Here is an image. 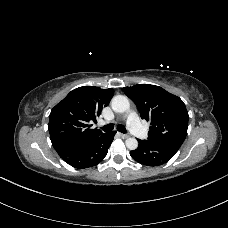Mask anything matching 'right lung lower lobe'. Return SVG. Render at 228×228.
I'll return each instance as SVG.
<instances>
[{"mask_svg":"<svg viewBox=\"0 0 228 228\" xmlns=\"http://www.w3.org/2000/svg\"><path fill=\"white\" fill-rule=\"evenodd\" d=\"M115 133H103L89 141L68 144L55 150L66 163L75 168L93 167L106 156Z\"/></svg>","mask_w":228,"mask_h":228,"instance_id":"1","label":"right lung lower lobe"}]
</instances>
